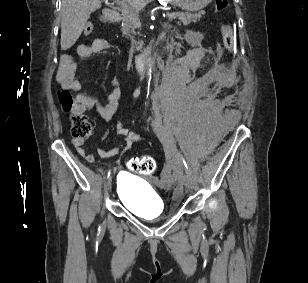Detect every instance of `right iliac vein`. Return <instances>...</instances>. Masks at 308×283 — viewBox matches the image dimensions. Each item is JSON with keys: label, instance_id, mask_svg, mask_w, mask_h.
<instances>
[{"label": "right iliac vein", "instance_id": "63e3f726", "mask_svg": "<svg viewBox=\"0 0 308 283\" xmlns=\"http://www.w3.org/2000/svg\"><path fill=\"white\" fill-rule=\"evenodd\" d=\"M112 187V178L110 177L107 181V189L110 191Z\"/></svg>", "mask_w": 308, "mask_h": 283}]
</instances>
